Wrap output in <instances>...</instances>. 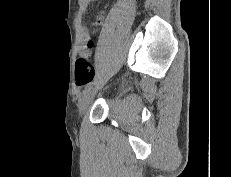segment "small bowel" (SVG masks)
<instances>
[{"label": "small bowel", "instance_id": "obj_1", "mask_svg": "<svg viewBox=\"0 0 231 177\" xmlns=\"http://www.w3.org/2000/svg\"><path fill=\"white\" fill-rule=\"evenodd\" d=\"M87 3H90L91 1L93 0H86ZM103 21H104V18L102 15L98 16L97 19H96V25L100 26L103 24ZM83 36L86 40V44L81 46L79 48V51L80 53L84 54L85 56H90L92 54V49H91V46H90V42H89V33L86 29L83 28Z\"/></svg>", "mask_w": 231, "mask_h": 177}]
</instances>
